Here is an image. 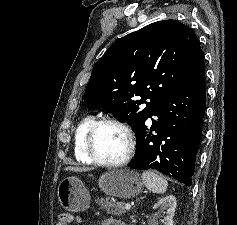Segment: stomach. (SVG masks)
Instances as JSON below:
<instances>
[{"mask_svg": "<svg viewBox=\"0 0 237 225\" xmlns=\"http://www.w3.org/2000/svg\"><path fill=\"white\" fill-rule=\"evenodd\" d=\"M100 189L107 195L128 199L137 196L143 182L136 172L128 169H113L101 175ZM57 196L61 206L71 212L88 208L90 194L84 183L77 177L64 178L58 185Z\"/></svg>", "mask_w": 237, "mask_h": 225, "instance_id": "0dacf381", "label": "stomach"}]
</instances>
